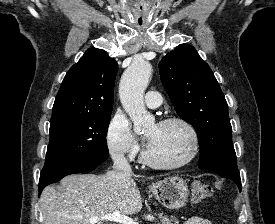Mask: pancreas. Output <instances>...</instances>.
<instances>
[{"mask_svg": "<svg viewBox=\"0 0 275 224\" xmlns=\"http://www.w3.org/2000/svg\"><path fill=\"white\" fill-rule=\"evenodd\" d=\"M161 224H179V221L175 217H168L162 213L158 215Z\"/></svg>", "mask_w": 275, "mask_h": 224, "instance_id": "cf45deb5", "label": "pancreas"}]
</instances>
